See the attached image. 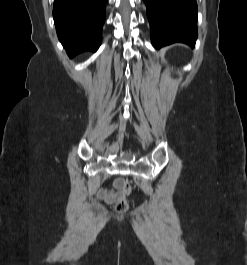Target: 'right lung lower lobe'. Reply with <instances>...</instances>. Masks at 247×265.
<instances>
[{"label": "right lung lower lobe", "mask_w": 247, "mask_h": 265, "mask_svg": "<svg viewBox=\"0 0 247 265\" xmlns=\"http://www.w3.org/2000/svg\"><path fill=\"white\" fill-rule=\"evenodd\" d=\"M107 0H54L53 17L59 40L69 57L95 52L101 43Z\"/></svg>", "instance_id": "obj_1"}]
</instances>
